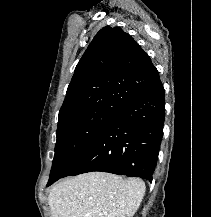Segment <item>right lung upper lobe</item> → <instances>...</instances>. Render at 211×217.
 <instances>
[{"mask_svg": "<svg viewBox=\"0 0 211 217\" xmlns=\"http://www.w3.org/2000/svg\"><path fill=\"white\" fill-rule=\"evenodd\" d=\"M160 81L150 57L120 27L102 28L76 66L58 124L98 111L118 112Z\"/></svg>", "mask_w": 211, "mask_h": 217, "instance_id": "1", "label": "right lung upper lobe"}]
</instances>
